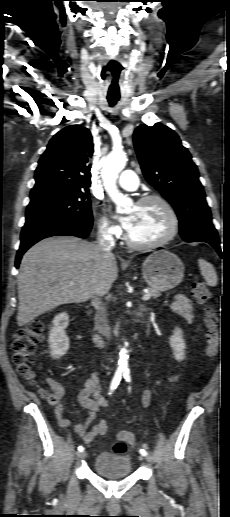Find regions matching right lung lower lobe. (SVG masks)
<instances>
[{
    "label": "right lung lower lobe",
    "instance_id": "obj_1",
    "mask_svg": "<svg viewBox=\"0 0 230 517\" xmlns=\"http://www.w3.org/2000/svg\"><path fill=\"white\" fill-rule=\"evenodd\" d=\"M92 221H80L66 218H42L27 221L22 228L21 244L16 256V268L22 255L36 242L51 236L70 235L86 238L91 230Z\"/></svg>",
    "mask_w": 230,
    "mask_h": 517
}]
</instances>
